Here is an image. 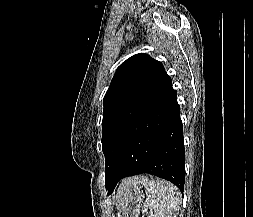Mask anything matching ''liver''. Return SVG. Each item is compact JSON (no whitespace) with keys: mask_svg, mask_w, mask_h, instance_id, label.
Instances as JSON below:
<instances>
[{"mask_svg":"<svg viewBox=\"0 0 253 217\" xmlns=\"http://www.w3.org/2000/svg\"><path fill=\"white\" fill-rule=\"evenodd\" d=\"M145 181L146 178L144 177H132L124 179L118 188L117 201L126 198L132 192V190L141 187Z\"/></svg>","mask_w":253,"mask_h":217,"instance_id":"1","label":"liver"}]
</instances>
